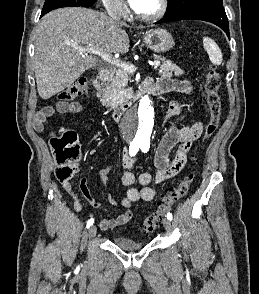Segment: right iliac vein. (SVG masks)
I'll return each instance as SVG.
<instances>
[{
    "instance_id": "right-iliac-vein-1",
    "label": "right iliac vein",
    "mask_w": 259,
    "mask_h": 294,
    "mask_svg": "<svg viewBox=\"0 0 259 294\" xmlns=\"http://www.w3.org/2000/svg\"><path fill=\"white\" fill-rule=\"evenodd\" d=\"M96 232H97V228L95 225H92L89 230H88V237L89 239H92L95 235H96Z\"/></svg>"
}]
</instances>
